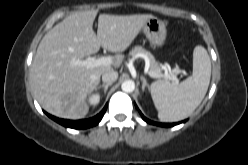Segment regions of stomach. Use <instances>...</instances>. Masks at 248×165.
<instances>
[{
	"label": "stomach",
	"mask_w": 248,
	"mask_h": 165,
	"mask_svg": "<svg viewBox=\"0 0 248 165\" xmlns=\"http://www.w3.org/2000/svg\"><path fill=\"white\" fill-rule=\"evenodd\" d=\"M143 33L153 47H160L166 39V24L153 17L149 19L142 28Z\"/></svg>",
	"instance_id": "stomach-1"
}]
</instances>
